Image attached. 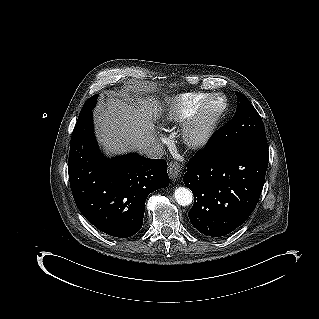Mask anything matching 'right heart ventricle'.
I'll use <instances>...</instances> for the list:
<instances>
[{"mask_svg": "<svg viewBox=\"0 0 319 319\" xmlns=\"http://www.w3.org/2000/svg\"><path fill=\"white\" fill-rule=\"evenodd\" d=\"M208 95L203 92H185L172 97L167 103L170 120L176 123L186 121Z\"/></svg>", "mask_w": 319, "mask_h": 319, "instance_id": "1", "label": "right heart ventricle"}]
</instances>
